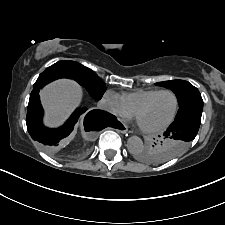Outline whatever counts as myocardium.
Here are the masks:
<instances>
[{"instance_id":"obj_1","label":"myocardium","mask_w":225,"mask_h":225,"mask_svg":"<svg viewBox=\"0 0 225 225\" xmlns=\"http://www.w3.org/2000/svg\"><path fill=\"white\" fill-rule=\"evenodd\" d=\"M164 93H169L172 94L174 99H175V107L173 110V113L171 115V117L162 125L158 126V127H153V128H146L140 125L139 123V115L140 113L159 95L164 94ZM179 97L178 95L170 89H163V90H159L158 92L154 93L153 95H151L149 98H147L142 104H140L138 106V108L135 110L134 112V116L136 117V119L138 120L139 126L141 128L142 131L146 132V133H157V132H161L165 129H167L175 120L178 111H179Z\"/></svg>"}]
</instances>
